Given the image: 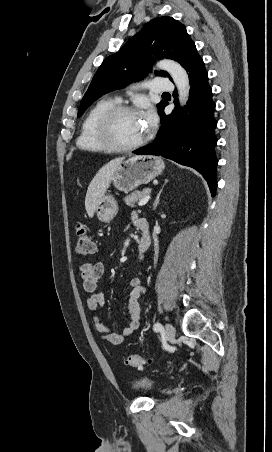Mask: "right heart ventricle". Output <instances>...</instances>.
<instances>
[{
    "mask_svg": "<svg viewBox=\"0 0 272 452\" xmlns=\"http://www.w3.org/2000/svg\"><path fill=\"white\" fill-rule=\"evenodd\" d=\"M116 103V100L112 98H102L89 109L81 124L76 141L80 149L89 152H104L108 150L97 136L96 122L104 110L116 105Z\"/></svg>",
    "mask_w": 272,
    "mask_h": 452,
    "instance_id": "right-heart-ventricle-1",
    "label": "right heart ventricle"
}]
</instances>
